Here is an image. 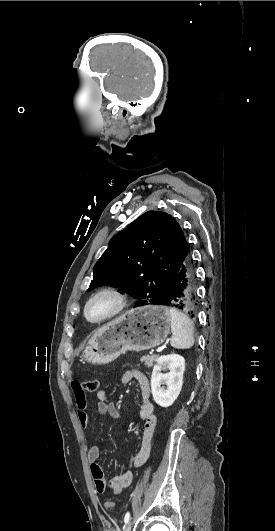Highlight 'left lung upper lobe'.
Here are the masks:
<instances>
[{
    "instance_id": "1",
    "label": "left lung upper lobe",
    "mask_w": 275,
    "mask_h": 531,
    "mask_svg": "<svg viewBox=\"0 0 275 531\" xmlns=\"http://www.w3.org/2000/svg\"><path fill=\"white\" fill-rule=\"evenodd\" d=\"M188 251L179 223L165 212L148 211L113 236L88 291L113 285L134 297L135 307L161 304Z\"/></svg>"
}]
</instances>
